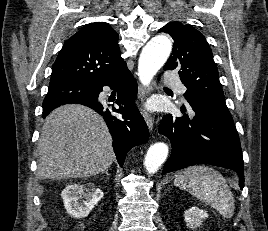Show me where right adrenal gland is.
Returning <instances> with one entry per match:
<instances>
[{"mask_svg":"<svg viewBox=\"0 0 268 231\" xmlns=\"http://www.w3.org/2000/svg\"><path fill=\"white\" fill-rule=\"evenodd\" d=\"M104 172H105L106 175H109L108 169H106Z\"/></svg>","mask_w":268,"mask_h":231,"instance_id":"1","label":"right adrenal gland"}]
</instances>
